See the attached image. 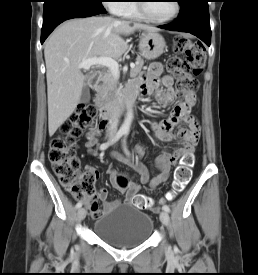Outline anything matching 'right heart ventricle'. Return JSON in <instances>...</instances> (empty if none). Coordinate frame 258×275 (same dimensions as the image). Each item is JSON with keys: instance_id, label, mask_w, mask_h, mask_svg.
<instances>
[{"instance_id": "obj_1", "label": "right heart ventricle", "mask_w": 258, "mask_h": 275, "mask_svg": "<svg viewBox=\"0 0 258 275\" xmlns=\"http://www.w3.org/2000/svg\"><path fill=\"white\" fill-rule=\"evenodd\" d=\"M126 2H129V3H125L118 14L131 19H137V20L143 19V16L139 13L137 9V4L134 3L136 1L130 0Z\"/></svg>"}]
</instances>
